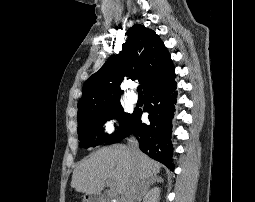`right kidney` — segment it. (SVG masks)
<instances>
[{"mask_svg": "<svg viewBox=\"0 0 255 202\" xmlns=\"http://www.w3.org/2000/svg\"><path fill=\"white\" fill-rule=\"evenodd\" d=\"M159 197H160V188L155 187L146 194L143 202H159Z\"/></svg>", "mask_w": 255, "mask_h": 202, "instance_id": "right-kidney-1", "label": "right kidney"}]
</instances>
